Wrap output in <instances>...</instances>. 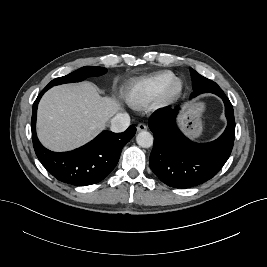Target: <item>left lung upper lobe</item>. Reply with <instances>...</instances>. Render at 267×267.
<instances>
[{
	"mask_svg": "<svg viewBox=\"0 0 267 267\" xmlns=\"http://www.w3.org/2000/svg\"><path fill=\"white\" fill-rule=\"evenodd\" d=\"M190 73L193 85V93L201 91L206 88H212L221 91V88L215 82L201 76L194 69L190 68Z\"/></svg>",
	"mask_w": 267,
	"mask_h": 267,
	"instance_id": "1",
	"label": "left lung upper lobe"
}]
</instances>
